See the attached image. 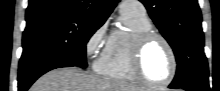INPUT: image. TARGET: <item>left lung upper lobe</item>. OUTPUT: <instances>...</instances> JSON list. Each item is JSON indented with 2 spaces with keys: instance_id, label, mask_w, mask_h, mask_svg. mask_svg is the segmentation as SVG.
Listing matches in <instances>:
<instances>
[{
  "instance_id": "left-lung-upper-lobe-1",
  "label": "left lung upper lobe",
  "mask_w": 220,
  "mask_h": 91,
  "mask_svg": "<svg viewBox=\"0 0 220 91\" xmlns=\"http://www.w3.org/2000/svg\"><path fill=\"white\" fill-rule=\"evenodd\" d=\"M140 1L174 51L177 72L170 86H209L202 17L197 0Z\"/></svg>"
}]
</instances>
